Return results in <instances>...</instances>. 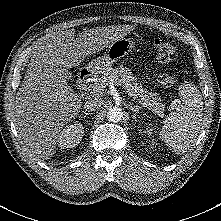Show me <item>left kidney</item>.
Listing matches in <instances>:
<instances>
[{
  "mask_svg": "<svg viewBox=\"0 0 221 221\" xmlns=\"http://www.w3.org/2000/svg\"><path fill=\"white\" fill-rule=\"evenodd\" d=\"M152 131H153L152 128H149V129L147 128V132L149 133V135H151ZM151 142L153 145L155 144V142L153 140Z\"/></svg>",
  "mask_w": 221,
  "mask_h": 221,
  "instance_id": "left-kidney-1",
  "label": "left kidney"
}]
</instances>
